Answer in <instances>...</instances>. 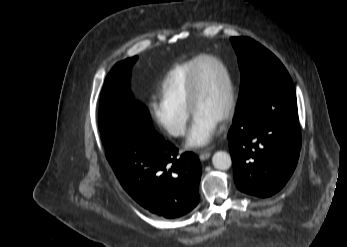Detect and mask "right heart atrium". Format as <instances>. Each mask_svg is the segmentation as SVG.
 <instances>
[{"label": "right heart atrium", "instance_id": "1", "mask_svg": "<svg viewBox=\"0 0 347 247\" xmlns=\"http://www.w3.org/2000/svg\"><path fill=\"white\" fill-rule=\"evenodd\" d=\"M152 114L158 125L172 137H181L185 134L189 111L186 107L170 104L163 99L151 104Z\"/></svg>", "mask_w": 347, "mask_h": 247}]
</instances>
